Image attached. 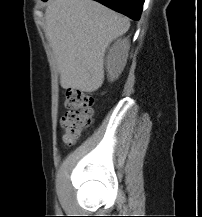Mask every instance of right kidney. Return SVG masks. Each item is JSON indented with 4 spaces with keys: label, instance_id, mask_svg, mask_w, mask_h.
<instances>
[{
    "label": "right kidney",
    "instance_id": "ca27d5eb",
    "mask_svg": "<svg viewBox=\"0 0 202 217\" xmlns=\"http://www.w3.org/2000/svg\"><path fill=\"white\" fill-rule=\"evenodd\" d=\"M129 48L130 43L126 38L117 40L110 48L106 60V68L110 81L117 79L123 71L127 62Z\"/></svg>",
    "mask_w": 202,
    "mask_h": 217
}]
</instances>
